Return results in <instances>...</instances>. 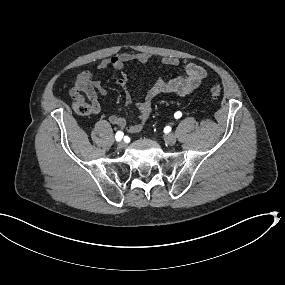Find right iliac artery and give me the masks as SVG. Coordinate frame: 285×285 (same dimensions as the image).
<instances>
[{
	"label": "right iliac artery",
	"mask_w": 285,
	"mask_h": 285,
	"mask_svg": "<svg viewBox=\"0 0 285 285\" xmlns=\"http://www.w3.org/2000/svg\"><path fill=\"white\" fill-rule=\"evenodd\" d=\"M124 133L122 131H118L115 135L117 141H120L123 138Z\"/></svg>",
	"instance_id": "right-iliac-artery-1"
}]
</instances>
